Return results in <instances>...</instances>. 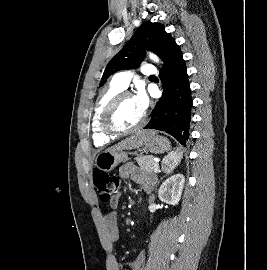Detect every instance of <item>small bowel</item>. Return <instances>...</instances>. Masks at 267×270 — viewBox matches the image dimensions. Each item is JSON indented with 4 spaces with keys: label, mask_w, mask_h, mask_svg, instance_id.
Wrapping results in <instances>:
<instances>
[{
    "label": "small bowel",
    "mask_w": 267,
    "mask_h": 270,
    "mask_svg": "<svg viewBox=\"0 0 267 270\" xmlns=\"http://www.w3.org/2000/svg\"><path fill=\"white\" fill-rule=\"evenodd\" d=\"M120 176L122 178H128L134 181L141 189L142 193L146 196H149L151 199V193L153 189V180L149 177H145L141 175L137 168L132 165L128 164L123 166L120 169ZM119 204V196L114 197L111 202L110 206L112 210L109 211L104 217V223L107 232V238L111 244L116 243L119 240V226H118V215L116 212V208ZM145 258V252L142 251L138 254V256L129 263H122L115 259L114 264L118 270H121L128 266L131 270H140Z\"/></svg>",
    "instance_id": "obj_1"
}]
</instances>
